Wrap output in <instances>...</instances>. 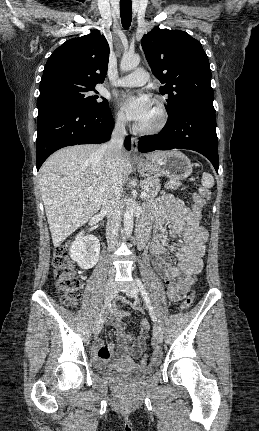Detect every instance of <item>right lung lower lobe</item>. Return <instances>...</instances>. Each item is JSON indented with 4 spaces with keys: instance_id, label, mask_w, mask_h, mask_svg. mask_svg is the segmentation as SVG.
Here are the masks:
<instances>
[{
    "instance_id": "98d812e1",
    "label": "right lung lower lobe",
    "mask_w": 259,
    "mask_h": 431,
    "mask_svg": "<svg viewBox=\"0 0 259 431\" xmlns=\"http://www.w3.org/2000/svg\"><path fill=\"white\" fill-rule=\"evenodd\" d=\"M114 127L110 108L89 109L74 104H55L38 111L36 167L56 150L76 144H100L109 140ZM124 146L131 148V139Z\"/></svg>"
}]
</instances>
